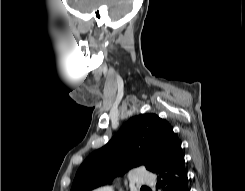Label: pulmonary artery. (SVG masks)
<instances>
[{
  "instance_id": "e3ab8cb5",
  "label": "pulmonary artery",
  "mask_w": 245,
  "mask_h": 191,
  "mask_svg": "<svg viewBox=\"0 0 245 191\" xmlns=\"http://www.w3.org/2000/svg\"><path fill=\"white\" fill-rule=\"evenodd\" d=\"M130 181L138 186H151L155 182V177L152 173L145 171L143 168H136L129 176ZM94 191H113L112 186H102Z\"/></svg>"
}]
</instances>
